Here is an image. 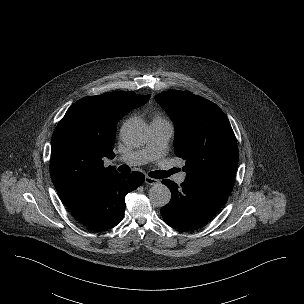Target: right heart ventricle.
I'll return each instance as SVG.
<instances>
[{"instance_id":"obj_1","label":"right heart ventricle","mask_w":304,"mask_h":304,"mask_svg":"<svg viewBox=\"0 0 304 304\" xmlns=\"http://www.w3.org/2000/svg\"><path fill=\"white\" fill-rule=\"evenodd\" d=\"M155 120H160V121H164L161 117H157Z\"/></svg>"}]
</instances>
